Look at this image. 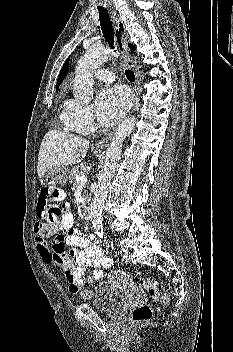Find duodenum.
<instances>
[{
    "instance_id": "duodenum-1",
    "label": "duodenum",
    "mask_w": 233,
    "mask_h": 352,
    "mask_svg": "<svg viewBox=\"0 0 233 352\" xmlns=\"http://www.w3.org/2000/svg\"><path fill=\"white\" fill-rule=\"evenodd\" d=\"M84 215H85V218L87 220H91V217H92V212H91V209L89 207H86L85 210H84Z\"/></svg>"
}]
</instances>
